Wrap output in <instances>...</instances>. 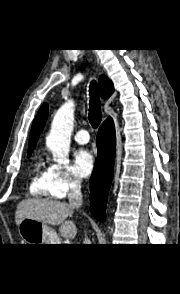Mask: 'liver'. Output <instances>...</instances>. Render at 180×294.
<instances>
[{"instance_id": "obj_1", "label": "liver", "mask_w": 180, "mask_h": 294, "mask_svg": "<svg viewBox=\"0 0 180 294\" xmlns=\"http://www.w3.org/2000/svg\"><path fill=\"white\" fill-rule=\"evenodd\" d=\"M73 207L66 202L45 199H27L21 201L15 212V222L19 226L25 218L40 221L44 224L60 225V233L65 238H74L77 228L72 220Z\"/></svg>"}]
</instances>
